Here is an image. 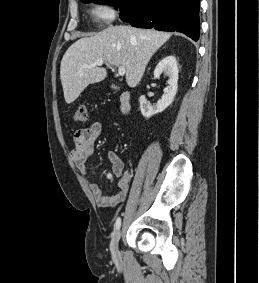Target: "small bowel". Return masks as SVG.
<instances>
[{"mask_svg": "<svg viewBox=\"0 0 259 283\" xmlns=\"http://www.w3.org/2000/svg\"><path fill=\"white\" fill-rule=\"evenodd\" d=\"M102 132V123L93 121L87 127L79 129L74 134V148L71 152L72 159L78 170L87 178L93 177V172L88 169L87 159L95 151V142ZM108 160L112 164V173L108 179L117 178L120 191L108 196L104 189L98 183H91L90 189L95 200L100 207H113L123 202L131 188L130 180L132 173L130 170H124V162L116 151L108 150L106 153Z\"/></svg>", "mask_w": 259, "mask_h": 283, "instance_id": "obj_1", "label": "small bowel"}]
</instances>
